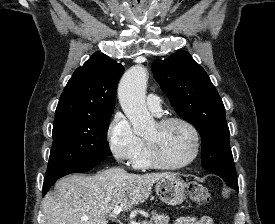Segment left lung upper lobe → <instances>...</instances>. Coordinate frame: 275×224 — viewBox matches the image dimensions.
<instances>
[{"mask_svg": "<svg viewBox=\"0 0 275 224\" xmlns=\"http://www.w3.org/2000/svg\"><path fill=\"white\" fill-rule=\"evenodd\" d=\"M151 67L176 113L199 131L202 167L225 182L237 181L225 108L204 69L182 50L154 61Z\"/></svg>", "mask_w": 275, "mask_h": 224, "instance_id": "5c2ea615", "label": "left lung upper lobe"}]
</instances>
